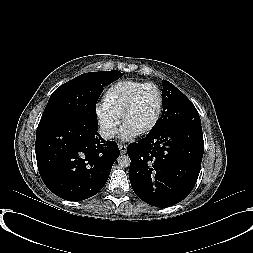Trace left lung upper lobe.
I'll return each instance as SVG.
<instances>
[{
    "label": "left lung upper lobe",
    "mask_w": 253,
    "mask_h": 253,
    "mask_svg": "<svg viewBox=\"0 0 253 253\" xmlns=\"http://www.w3.org/2000/svg\"><path fill=\"white\" fill-rule=\"evenodd\" d=\"M163 112L149 133H156L180 125L201 126L199 114L193 103L172 83L162 81Z\"/></svg>",
    "instance_id": "1"
}]
</instances>
